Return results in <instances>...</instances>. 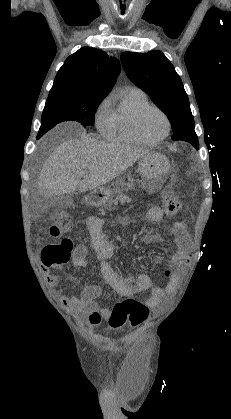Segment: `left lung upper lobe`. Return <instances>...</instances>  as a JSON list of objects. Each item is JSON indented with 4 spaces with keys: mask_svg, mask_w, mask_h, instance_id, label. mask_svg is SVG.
<instances>
[{
    "mask_svg": "<svg viewBox=\"0 0 231 419\" xmlns=\"http://www.w3.org/2000/svg\"><path fill=\"white\" fill-rule=\"evenodd\" d=\"M120 59L128 78L167 115L173 130L172 139L198 147L188 96L165 55L160 51L124 52Z\"/></svg>",
    "mask_w": 231,
    "mask_h": 419,
    "instance_id": "obj_1",
    "label": "left lung upper lobe"
}]
</instances>
